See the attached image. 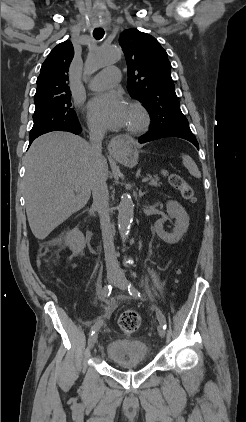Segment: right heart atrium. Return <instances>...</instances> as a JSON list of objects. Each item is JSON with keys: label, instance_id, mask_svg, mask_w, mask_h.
<instances>
[{"label": "right heart atrium", "instance_id": "1", "mask_svg": "<svg viewBox=\"0 0 246 422\" xmlns=\"http://www.w3.org/2000/svg\"><path fill=\"white\" fill-rule=\"evenodd\" d=\"M88 127H89L90 132L93 133V134L98 135V134H101L102 133L101 128H99L98 126H96V125H94L92 123H89L88 124Z\"/></svg>", "mask_w": 246, "mask_h": 422}]
</instances>
